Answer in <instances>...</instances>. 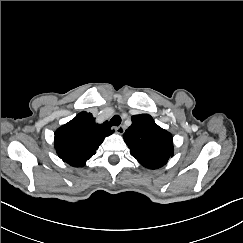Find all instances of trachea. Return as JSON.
I'll return each instance as SVG.
<instances>
[{"label":"trachea","instance_id":"obj_1","mask_svg":"<svg viewBox=\"0 0 243 243\" xmlns=\"http://www.w3.org/2000/svg\"><path fill=\"white\" fill-rule=\"evenodd\" d=\"M121 123V118L119 115H114L111 120H110V126H113V125H120Z\"/></svg>","mask_w":243,"mask_h":243}]
</instances>
